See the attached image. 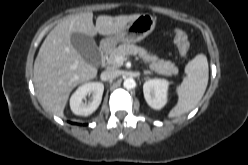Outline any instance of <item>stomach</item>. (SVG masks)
<instances>
[{"label":"stomach","instance_id":"obj_1","mask_svg":"<svg viewBox=\"0 0 248 165\" xmlns=\"http://www.w3.org/2000/svg\"><path fill=\"white\" fill-rule=\"evenodd\" d=\"M156 19L150 14H141L129 22L123 29L106 39L111 45L117 43L131 44L143 40L155 28Z\"/></svg>","mask_w":248,"mask_h":165}]
</instances>
